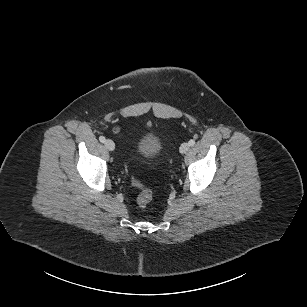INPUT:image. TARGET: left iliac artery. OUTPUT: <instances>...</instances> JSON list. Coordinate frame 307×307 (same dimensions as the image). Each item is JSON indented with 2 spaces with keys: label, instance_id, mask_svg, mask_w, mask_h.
<instances>
[{
  "label": "left iliac artery",
  "instance_id": "left-iliac-artery-1",
  "mask_svg": "<svg viewBox=\"0 0 307 307\" xmlns=\"http://www.w3.org/2000/svg\"><path fill=\"white\" fill-rule=\"evenodd\" d=\"M188 143L190 146H193L195 144V140L191 139Z\"/></svg>",
  "mask_w": 307,
  "mask_h": 307
}]
</instances>
